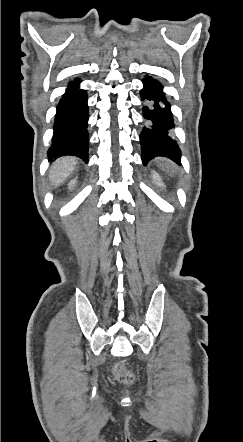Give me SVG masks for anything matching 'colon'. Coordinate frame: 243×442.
<instances>
[{"instance_id":"5ec220e1","label":"colon","mask_w":243,"mask_h":442,"mask_svg":"<svg viewBox=\"0 0 243 442\" xmlns=\"http://www.w3.org/2000/svg\"><path fill=\"white\" fill-rule=\"evenodd\" d=\"M113 373L115 377L124 384H132L135 380L133 373L125 368L122 361H119L114 365Z\"/></svg>"}]
</instances>
